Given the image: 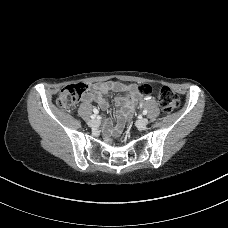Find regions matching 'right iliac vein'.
<instances>
[{
  "label": "right iliac vein",
  "mask_w": 228,
  "mask_h": 228,
  "mask_svg": "<svg viewBox=\"0 0 228 228\" xmlns=\"http://www.w3.org/2000/svg\"><path fill=\"white\" fill-rule=\"evenodd\" d=\"M88 125H89L90 127H96V126L99 125V121H98V120H95V119L90 120V121L88 122Z\"/></svg>",
  "instance_id": "1"
}]
</instances>
